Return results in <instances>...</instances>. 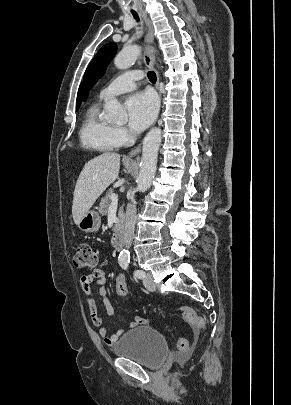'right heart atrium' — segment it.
<instances>
[{
	"label": "right heart atrium",
	"instance_id": "obj_1",
	"mask_svg": "<svg viewBox=\"0 0 291 405\" xmlns=\"http://www.w3.org/2000/svg\"><path fill=\"white\" fill-rule=\"evenodd\" d=\"M114 134L119 145L127 142L129 138L128 131L123 127H115Z\"/></svg>",
	"mask_w": 291,
	"mask_h": 405
}]
</instances>
